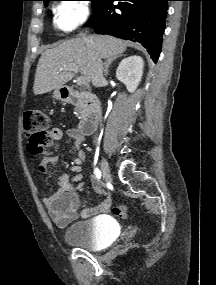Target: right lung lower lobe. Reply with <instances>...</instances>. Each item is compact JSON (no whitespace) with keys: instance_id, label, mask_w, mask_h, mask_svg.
Wrapping results in <instances>:
<instances>
[{"instance_id":"98d812e1","label":"right lung lower lobe","mask_w":216,"mask_h":285,"mask_svg":"<svg viewBox=\"0 0 216 285\" xmlns=\"http://www.w3.org/2000/svg\"><path fill=\"white\" fill-rule=\"evenodd\" d=\"M99 0L85 24L97 34H109L141 43L154 62L161 52L162 34L170 0Z\"/></svg>"}]
</instances>
